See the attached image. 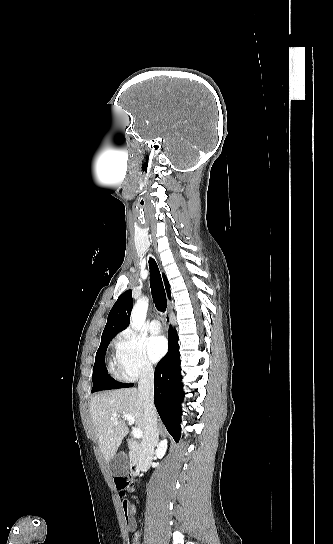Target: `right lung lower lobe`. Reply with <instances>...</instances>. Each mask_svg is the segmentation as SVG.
<instances>
[{
  "mask_svg": "<svg viewBox=\"0 0 333 544\" xmlns=\"http://www.w3.org/2000/svg\"><path fill=\"white\" fill-rule=\"evenodd\" d=\"M178 335L169 330V350L155 368L154 403L168 432L179 441L181 434V403L184 398L181 382ZM130 384L128 387H132Z\"/></svg>",
  "mask_w": 333,
  "mask_h": 544,
  "instance_id": "obj_1",
  "label": "right lung lower lobe"
}]
</instances>
